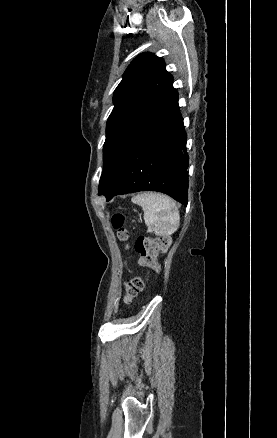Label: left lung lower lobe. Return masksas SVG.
I'll list each match as a JSON object with an SVG mask.
<instances>
[{
    "mask_svg": "<svg viewBox=\"0 0 277 438\" xmlns=\"http://www.w3.org/2000/svg\"><path fill=\"white\" fill-rule=\"evenodd\" d=\"M187 167L180 113L166 100L150 94L138 112L125 162L115 182L101 195L109 201L119 194L157 191L186 206Z\"/></svg>",
    "mask_w": 277,
    "mask_h": 438,
    "instance_id": "obj_1",
    "label": "left lung lower lobe"
}]
</instances>
